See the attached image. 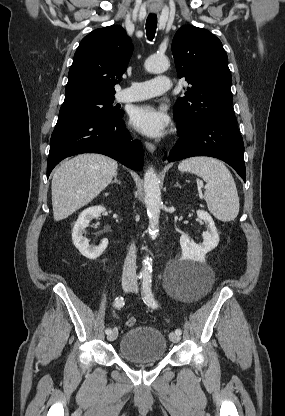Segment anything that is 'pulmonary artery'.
<instances>
[{
    "mask_svg": "<svg viewBox=\"0 0 285 416\" xmlns=\"http://www.w3.org/2000/svg\"><path fill=\"white\" fill-rule=\"evenodd\" d=\"M166 76H157L145 82H133L130 87H121L116 94L119 102H131L161 95L171 87ZM151 86V87H149Z\"/></svg>",
    "mask_w": 285,
    "mask_h": 416,
    "instance_id": "pulmonary-artery-1",
    "label": "pulmonary artery"
}]
</instances>
